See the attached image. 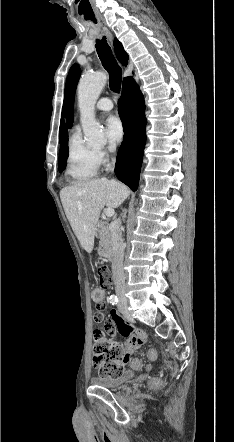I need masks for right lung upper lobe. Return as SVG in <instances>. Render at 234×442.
<instances>
[{"label":"right lung upper lobe","instance_id":"1","mask_svg":"<svg viewBox=\"0 0 234 442\" xmlns=\"http://www.w3.org/2000/svg\"><path fill=\"white\" fill-rule=\"evenodd\" d=\"M114 49L118 60L122 63V65H126L128 60V54L124 51L122 44L117 39L114 40ZM62 117H64L63 112H62ZM59 137H60L59 140L60 146H63L68 142V133L63 119H61Z\"/></svg>","mask_w":234,"mask_h":442}]
</instances>
